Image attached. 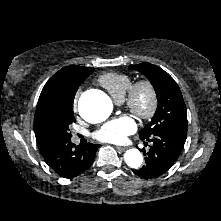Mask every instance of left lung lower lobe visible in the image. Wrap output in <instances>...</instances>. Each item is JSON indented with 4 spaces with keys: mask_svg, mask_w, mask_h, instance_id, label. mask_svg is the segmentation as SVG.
<instances>
[{
    "mask_svg": "<svg viewBox=\"0 0 221 221\" xmlns=\"http://www.w3.org/2000/svg\"><path fill=\"white\" fill-rule=\"evenodd\" d=\"M187 137V129H171L140 138L153 143L149 151L142 149L145 165L133 172L141 178L151 179L166 173L177 161L183 150Z\"/></svg>",
    "mask_w": 221,
    "mask_h": 221,
    "instance_id": "1",
    "label": "left lung lower lobe"
}]
</instances>
